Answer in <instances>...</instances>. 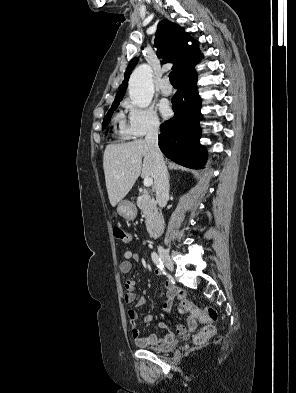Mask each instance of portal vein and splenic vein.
<instances>
[{"label": "portal vein and splenic vein", "instance_id": "18ae733b", "mask_svg": "<svg viewBox=\"0 0 296 393\" xmlns=\"http://www.w3.org/2000/svg\"><path fill=\"white\" fill-rule=\"evenodd\" d=\"M153 184V179L151 177L144 178V186L150 187Z\"/></svg>", "mask_w": 296, "mask_h": 393}]
</instances>
